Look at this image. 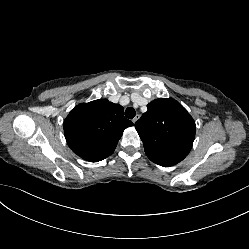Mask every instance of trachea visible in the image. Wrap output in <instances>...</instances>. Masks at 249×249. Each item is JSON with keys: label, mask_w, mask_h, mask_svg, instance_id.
Here are the masks:
<instances>
[{"label": "trachea", "mask_w": 249, "mask_h": 249, "mask_svg": "<svg viewBox=\"0 0 249 249\" xmlns=\"http://www.w3.org/2000/svg\"><path fill=\"white\" fill-rule=\"evenodd\" d=\"M135 115H136V111L133 108L129 107L126 109L125 116L128 119H133L135 117Z\"/></svg>", "instance_id": "obj_1"}]
</instances>
